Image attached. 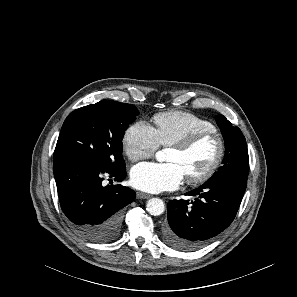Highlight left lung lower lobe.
<instances>
[{
    "instance_id": "obj_1",
    "label": "left lung lower lobe",
    "mask_w": 297,
    "mask_h": 297,
    "mask_svg": "<svg viewBox=\"0 0 297 297\" xmlns=\"http://www.w3.org/2000/svg\"><path fill=\"white\" fill-rule=\"evenodd\" d=\"M247 179H210L185 195L194 201L171 200L168 223L163 229L164 241L181 251H194L209 243L226 229L236 216Z\"/></svg>"
}]
</instances>
